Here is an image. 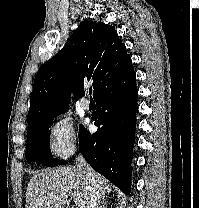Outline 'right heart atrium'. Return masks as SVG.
<instances>
[{"label":"right heart atrium","instance_id":"obj_1","mask_svg":"<svg viewBox=\"0 0 199 208\" xmlns=\"http://www.w3.org/2000/svg\"><path fill=\"white\" fill-rule=\"evenodd\" d=\"M79 144V135L71 118L62 116L52 123L48 134V147L56 158L69 157L78 149Z\"/></svg>","mask_w":199,"mask_h":208}]
</instances>
